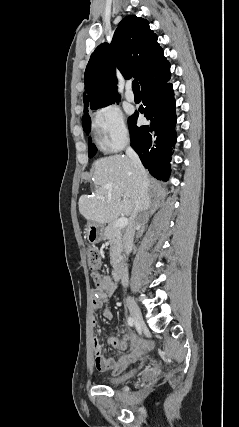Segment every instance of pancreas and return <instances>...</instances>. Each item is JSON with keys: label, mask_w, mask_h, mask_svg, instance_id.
Segmentation results:
<instances>
[{"label": "pancreas", "mask_w": 239, "mask_h": 427, "mask_svg": "<svg viewBox=\"0 0 239 427\" xmlns=\"http://www.w3.org/2000/svg\"><path fill=\"white\" fill-rule=\"evenodd\" d=\"M114 222L108 224L105 228V235L107 239H110V258L111 265H115L120 257L122 249V233L123 229L114 227Z\"/></svg>", "instance_id": "obj_1"}]
</instances>
